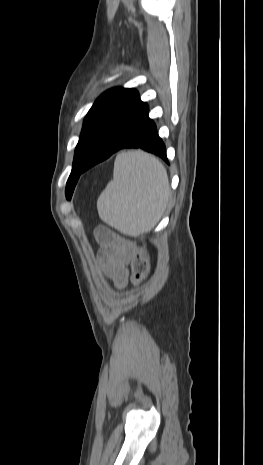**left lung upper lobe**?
Instances as JSON below:
<instances>
[{
	"label": "left lung upper lobe",
	"mask_w": 263,
	"mask_h": 465,
	"mask_svg": "<svg viewBox=\"0 0 263 465\" xmlns=\"http://www.w3.org/2000/svg\"><path fill=\"white\" fill-rule=\"evenodd\" d=\"M135 89L117 87L103 93L89 110L75 149L72 171L66 184V198L71 199L82 167L90 157L102 133L136 97Z\"/></svg>",
	"instance_id": "left-lung-upper-lobe-1"
}]
</instances>
